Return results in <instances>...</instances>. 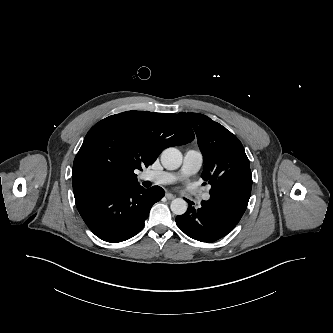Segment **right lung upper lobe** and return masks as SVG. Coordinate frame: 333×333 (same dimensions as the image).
Masks as SVG:
<instances>
[{
  "label": "right lung upper lobe",
  "mask_w": 333,
  "mask_h": 333,
  "mask_svg": "<svg viewBox=\"0 0 333 333\" xmlns=\"http://www.w3.org/2000/svg\"><path fill=\"white\" fill-rule=\"evenodd\" d=\"M193 139L189 124L174 113L127 111L109 116L85 136L73 163V190L94 184L139 185L135 169L151 165L165 148Z\"/></svg>",
  "instance_id": "cb5924a9"
}]
</instances>
